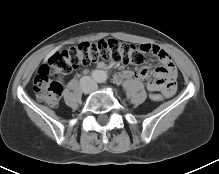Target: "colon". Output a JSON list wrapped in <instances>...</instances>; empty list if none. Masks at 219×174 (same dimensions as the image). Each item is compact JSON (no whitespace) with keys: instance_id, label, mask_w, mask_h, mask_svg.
Instances as JSON below:
<instances>
[{"instance_id":"1","label":"colon","mask_w":219,"mask_h":174,"mask_svg":"<svg viewBox=\"0 0 219 174\" xmlns=\"http://www.w3.org/2000/svg\"><path fill=\"white\" fill-rule=\"evenodd\" d=\"M101 60L139 66L145 62V52L138 46L121 43L115 39L83 42L56 52L39 68L34 78L33 87L38 100L56 107L62 94V81L66 76L80 66ZM150 98L154 102L164 100V96L158 92H152Z\"/></svg>"}]
</instances>
